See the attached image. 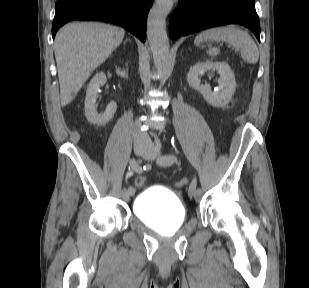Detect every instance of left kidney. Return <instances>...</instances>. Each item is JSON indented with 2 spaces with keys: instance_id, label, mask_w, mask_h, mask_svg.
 <instances>
[{
  "instance_id": "1",
  "label": "left kidney",
  "mask_w": 309,
  "mask_h": 288,
  "mask_svg": "<svg viewBox=\"0 0 309 288\" xmlns=\"http://www.w3.org/2000/svg\"><path fill=\"white\" fill-rule=\"evenodd\" d=\"M209 70H217L220 74L218 80L219 89L217 91H212L211 86L207 83L201 84L200 76ZM187 81L193 89L199 91L204 99L214 107L227 105L236 90L234 73L225 62L204 61L197 63L190 68Z\"/></svg>"
}]
</instances>
